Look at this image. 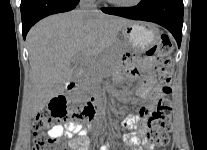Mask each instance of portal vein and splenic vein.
<instances>
[{
	"instance_id": "portal-vein-and-splenic-vein-1",
	"label": "portal vein and splenic vein",
	"mask_w": 207,
	"mask_h": 150,
	"mask_svg": "<svg viewBox=\"0 0 207 150\" xmlns=\"http://www.w3.org/2000/svg\"><path fill=\"white\" fill-rule=\"evenodd\" d=\"M74 62L80 63L81 65H84V66H88L89 67L92 63L95 62V59H93V60H86V61H81L79 59H74Z\"/></svg>"
}]
</instances>
